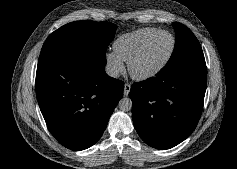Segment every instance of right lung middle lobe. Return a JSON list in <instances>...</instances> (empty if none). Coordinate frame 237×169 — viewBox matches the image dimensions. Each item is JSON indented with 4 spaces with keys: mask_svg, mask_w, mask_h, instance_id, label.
Here are the masks:
<instances>
[{
    "mask_svg": "<svg viewBox=\"0 0 237 169\" xmlns=\"http://www.w3.org/2000/svg\"><path fill=\"white\" fill-rule=\"evenodd\" d=\"M117 26L110 22L76 21L54 31L42 51H96L105 54Z\"/></svg>",
    "mask_w": 237,
    "mask_h": 169,
    "instance_id": "dd1d6c3e",
    "label": "right lung middle lobe"
}]
</instances>
